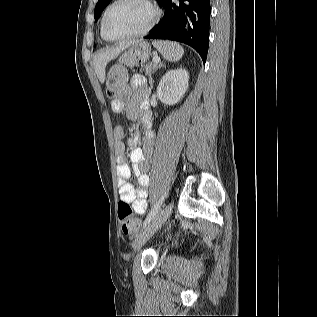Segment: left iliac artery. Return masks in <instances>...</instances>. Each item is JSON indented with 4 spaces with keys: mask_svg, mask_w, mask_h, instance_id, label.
I'll return each mask as SVG.
<instances>
[{
    "mask_svg": "<svg viewBox=\"0 0 317 317\" xmlns=\"http://www.w3.org/2000/svg\"><path fill=\"white\" fill-rule=\"evenodd\" d=\"M167 194L165 193L159 200L158 202L154 205V207L151 209V211L149 212V214L147 215L144 223H143V228H145L150 221L156 216V214L158 213V210L160 209V206L162 205L164 199L166 198Z\"/></svg>",
    "mask_w": 317,
    "mask_h": 317,
    "instance_id": "obj_1",
    "label": "left iliac artery"
}]
</instances>
